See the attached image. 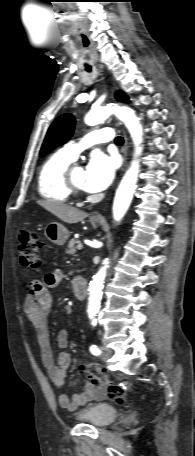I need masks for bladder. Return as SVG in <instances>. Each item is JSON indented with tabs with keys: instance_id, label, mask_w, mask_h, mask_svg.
I'll list each match as a JSON object with an SVG mask.
<instances>
[{
	"instance_id": "obj_1",
	"label": "bladder",
	"mask_w": 195,
	"mask_h": 456,
	"mask_svg": "<svg viewBox=\"0 0 195 456\" xmlns=\"http://www.w3.org/2000/svg\"><path fill=\"white\" fill-rule=\"evenodd\" d=\"M75 417L79 421L102 428L115 421L117 410L108 403H97L80 410Z\"/></svg>"
}]
</instances>
